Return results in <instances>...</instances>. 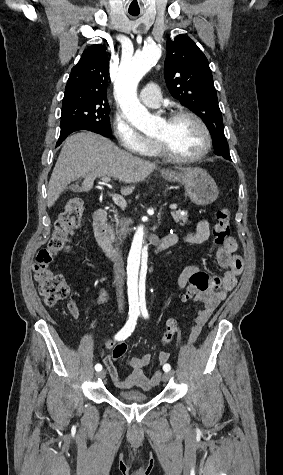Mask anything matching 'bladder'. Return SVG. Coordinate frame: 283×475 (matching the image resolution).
Returning <instances> with one entry per match:
<instances>
[{
	"label": "bladder",
	"instance_id": "obj_1",
	"mask_svg": "<svg viewBox=\"0 0 283 475\" xmlns=\"http://www.w3.org/2000/svg\"><path fill=\"white\" fill-rule=\"evenodd\" d=\"M115 397L118 400H122L126 403L130 404H141L150 402L152 399V395L149 393H143L138 389L132 390H119Z\"/></svg>",
	"mask_w": 283,
	"mask_h": 475
}]
</instances>
